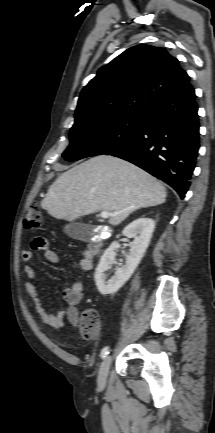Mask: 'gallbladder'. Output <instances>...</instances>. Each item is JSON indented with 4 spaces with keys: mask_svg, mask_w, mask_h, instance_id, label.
<instances>
[{
    "mask_svg": "<svg viewBox=\"0 0 215 433\" xmlns=\"http://www.w3.org/2000/svg\"><path fill=\"white\" fill-rule=\"evenodd\" d=\"M66 235L77 240H88L91 233V227L81 222H71L64 227Z\"/></svg>",
    "mask_w": 215,
    "mask_h": 433,
    "instance_id": "obj_1",
    "label": "gallbladder"
}]
</instances>
